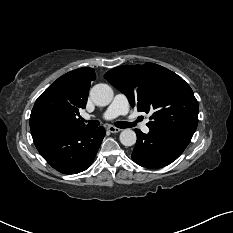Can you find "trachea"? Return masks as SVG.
Masks as SVG:
<instances>
[{"instance_id":"1","label":"trachea","mask_w":233,"mask_h":233,"mask_svg":"<svg viewBox=\"0 0 233 233\" xmlns=\"http://www.w3.org/2000/svg\"><path fill=\"white\" fill-rule=\"evenodd\" d=\"M87 122V121H85ZM100 122L97 120H91L87 123V127L91 128V129H95L99 126ZM115 125L119 128H129V127H133L134 124L133 123H129V122H116Z\"/></svg>"}]
</instances>
